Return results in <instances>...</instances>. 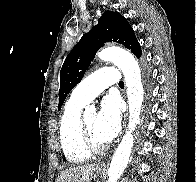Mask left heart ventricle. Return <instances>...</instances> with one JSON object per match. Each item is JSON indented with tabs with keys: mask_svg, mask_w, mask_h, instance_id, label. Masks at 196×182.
Returning <instances> with one entry per match:
<instances>
[{
	"mask_svg": "<svg viewBox=\"0 0 196 182\" xmlns=\"http://www.w3.org/2000/svg\"><path fill=\"white\" fill-rule=\"evenodd\" d=\"M97 114L92 113L85 116V123L92 139L96 143H104L96 132Z\"/></svg>",
	"mask_w": 196,
	"mask_h": 182,
	"instance_id": "b2bd125f",
	"label": "left heart ventricle"
}]
</instances>
